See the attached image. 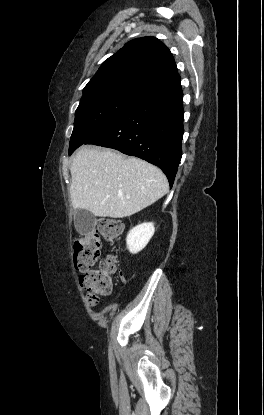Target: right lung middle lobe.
Masks as SVG:
<instances>
[{"instance_id": "right-lung-middle-lobe-1", "label": "right lung middle lobe", "mask_w": 264, "mask_h": 415, "mask_svg": "<svg viewBox=\"0 0 264 415\" xmlns=\"http://www.w3.org/2000/svg\"><path fill=\"white\" fill-rule=\"evenodd\" d=\"M141 100L140 96L125 92L83 96L75 112L69 152L88 141Z\"/></svg>"}]
</instances>
